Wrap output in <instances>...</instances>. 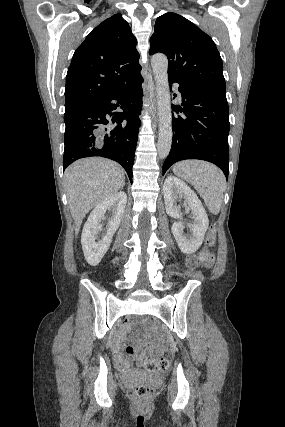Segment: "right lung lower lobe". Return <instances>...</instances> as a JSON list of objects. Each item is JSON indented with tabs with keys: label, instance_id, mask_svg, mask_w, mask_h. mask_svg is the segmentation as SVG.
Listing matches in <instances>:
<instances>
[{
	"label": "right lung lower lobe",
	"instance_id": "right-lung-lower-lobe-1",
	"mask_svg": "<svg viewBox=\"0 0 285 427\" xmlns=\"http://www.w3.org/2000/svg\"><path fill=\"white\" fill-rule=\"evenodd\" d=\"M143 78L140 75L122 89L97 98L78 102L65 108L63 170L75 160L101 156L115 160L126 170L132 182L138 131L139 113L142 104ZM117 100L123 112H113ZM118 123L113 129L107 127ZM126 119L127 122L122 123Z\"/></svg>",
	"mask_w": 285,
	"mask_h": 427
}]
</instances>
